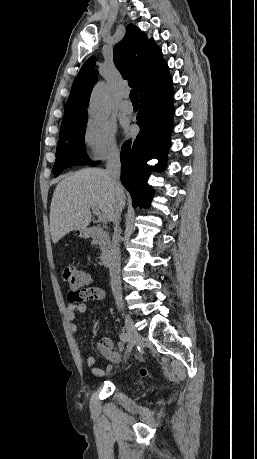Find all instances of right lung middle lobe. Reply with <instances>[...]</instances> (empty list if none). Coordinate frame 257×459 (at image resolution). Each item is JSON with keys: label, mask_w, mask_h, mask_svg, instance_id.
Returning a JSON list of instances; mask_svg holds the SVG:
<instances>
[{"label": "right lung middle lobe", "mask_w": 257, "mask_h": 459, "mask_svg": "<svg viewBox=\"0 0 257 459\" xmlns=\"http://www.w3.org/2000/svg\"><path fill=\"white\" fill-rule=\"evenodd\" d=\"M86 121L59 135V141L56 149V161L53 166V173L58 176L63 169L73 165H90L95 166L87 158L84 149V134Z\"/></svg>", "instance_id": "dd1d6c3e"}]
</instances>
